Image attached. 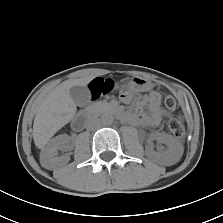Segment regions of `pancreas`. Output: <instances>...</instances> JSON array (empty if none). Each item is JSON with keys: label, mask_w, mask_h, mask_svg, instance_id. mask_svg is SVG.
<instances>
[{"label": "pancreas", "mask_w": 223, "mask_h": 223, "mask_svg": "<svg viewBox=\"0 0 223 223\" xmlns=\"http://www.w3.org/2000/svg\"><path fill=\"white\" fill-rule=\"evenodd\" d=\"M109 108V104L106 102H96L92 105V109L95 112H102Z\"/></svg>", "instance_id": "pancreas-1"}]
</instances>
